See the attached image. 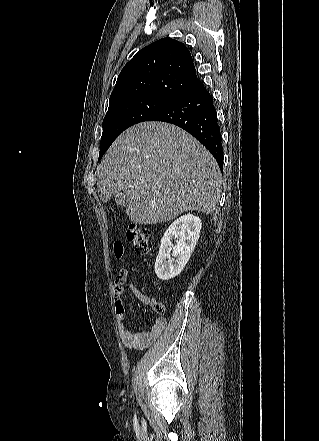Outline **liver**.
Masks as SVG:
<instances>
[{
    "label": "liver",
    "mask_w": 319,
    "mask_h": 441,
    "mask_svg": "<svg viewBox=\"0 0 319 441\" xmlns=\"http://www.w3.org/2000/svg\"><path fill=\"white\" fill-rule=\"evenodd\" d=\"M221 184L216 160L197 139L178 126L146 121L108 149L97 189L104 203L122 192L131 222L156 224L190 210L212 214Z\"/></svg>",
    "instance_id": "liver-1"
}]
</instances>
